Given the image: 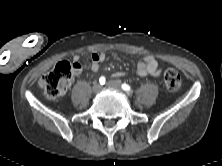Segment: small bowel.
I'll return each mask as SVG.
<instances>
[{
	"label": "small bowel",
	"instance_id": "small-bowel-1",
	"mask_svg": "<svg viewBox=\"0 0 222 166\" xmlns=\"http://www.w3.org/2000/svg\"><path fill=\"white\" fill-rule=\"evenodd\" d=\"M106 59V54L103 52H94L91 55V70L93 72H98L100 69V65ZM79 57H74V63L79 64ZM81 70V67L75 70V74H78ZM162 72V68L160 67L158 61L155 57L148 55L143 57L136 66V74L140 77H144L147 75H151L154 77H158ZM124 75V72H116L114 74L115 77H121Z\"/></svg>",
	"mask_w": 222,
	"mask_h": 166
}]
</instances>
